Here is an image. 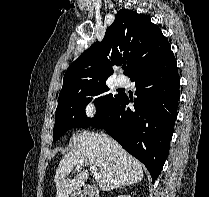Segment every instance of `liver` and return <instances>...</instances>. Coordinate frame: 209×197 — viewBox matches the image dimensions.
<instances>
[{"mask_svg":"<svg viewBox=\"0 0 209 197\" xmlns=\"http://www.w3.org/2000/svg\"><path fill=\"white\" fill-rule=\"evenodd\" d=\"M71 142L73 148L60 161L54 177L56 197H69L84 185L87 170L79 172L73 179L67 177L74 167L95 165L102 175L99 181L102 191L132 185L143 179L142 164L106 134L84 130L74 135Z\"/></svg>","mask_w":209,"mask_h":197,"instance_id":"liver-1","label":"liver"}]
</instances>
